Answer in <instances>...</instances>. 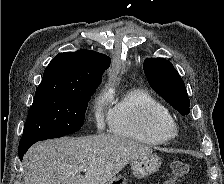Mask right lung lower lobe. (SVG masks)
Segmentation results:
<instances>
[{"label": "right lung lower lobe", "mask_w": 224, "mask_h": 184, "mask_svg": "<svg viewBox=\"0 0 224 184\" xmlns=\"http://www.w3.org/2000/svg\"><path fill=\"white\" fill-rule=\"evenodd\" d=\"M30 146L31 145H24V146H20L18 148V155H19L20 160L23 159V155L27 152V150Z\"/></svg>", "instance_id": "1"}]
</instances>
